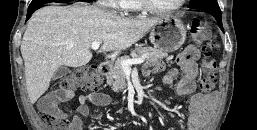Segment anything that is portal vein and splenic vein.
I'll list each match as a JSON object with an SVG mask.
<instances>
[{
  "instance_id": "obj_1",
  "label": "portal vein and splenic vein",
  "mask_w": 257,
  "mask_h": 130,
  "mask_svg": "<svg viewBox=\"0 0 257 130\" xmlns=\"http://www.w3.org/2000/svg\"><path fill=\"white\" fill-rule=\"evenodd\" d=\"M100 43L99 41L97 42H93L91 45V48L93 50H98V48L100 47ZM145 61V59L143 57L141 58H135V59H129V60H122L121 61V66L124 72H130L131 71V65L134 64H142Z\"/></svg>"
}]
</instances>
